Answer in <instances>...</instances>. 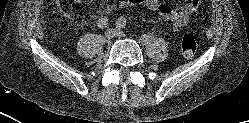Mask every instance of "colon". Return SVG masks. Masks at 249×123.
<instances>
[{"mask_svg": "<svg viewBox=\"0 0 249 123\" xmlns=\"http://www.w3.org/2000/svg\"><path fill=\"white\" fill-rule=\"evenodd\" d=\"M197 50V42L192 34H185L181 39V53L184 57H193Z\"/></svg>", "mask_w": 249, "mask_h": 123, "instance_id": "obj_1", "label": "colon"}]
</instances>
